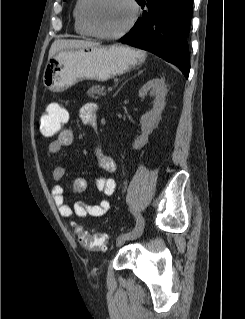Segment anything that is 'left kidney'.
<instances>
[{
    "mask_svg": "<svg viewBox=\"0 0 245 319\" xmlns=\"http://www.w3.org/2000/svg\"><path fill=\"white\" fill-rule=\"evenodd\" d=\"M149 91L150 96L155 97L153 107L149 112L142 115L140 119L142 134L135 140V148L142 147L147 143L148 135L153 131L155 124L164 109L165 96L167 94V87L164 79L156 78L146 82L139 90V96L144 98Z\"/></svg>",
    "mask_w": 245,
    "mask_h": 319,
    "instance_id": "5707ae66",
    "label": "left kidney"
}]
</instances>
